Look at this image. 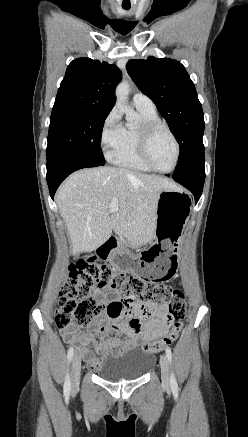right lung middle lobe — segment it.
<instances>
[{"mask_svg":"<svg viewBox=\"0 0 248 437\" xmlns=\"http://www.w3.org/2000/svg\"><path fill=\"white\" fill-rule=\"evenodd\" d=\"M107 116L108 113L54 105L50 118L47 158L62 152H76L105 161L100 140Z\"/></svg>","mask_w":248,"mask_h":437,"instance_id":"obj_1","label":"right lung middle lobe"}]
</instances>
